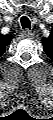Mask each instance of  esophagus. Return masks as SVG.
I'll return each mask as SVG.
<instances>
[{"label":"esophagus","mask_w":53,"mask_h":120,"mask_svg":"<svg viewBox=\"0 0 53 120\" xmlns=\"http://www.w3.org/2000/svg\"><path fill=\"white\" fill-rule=\"evenodd\" d=\"M21 37L27 38V39H32L34 37V34L32 33V31L26 29V30L21 32Z\"/></svg>","instance_id":"1"}]
</instances>
